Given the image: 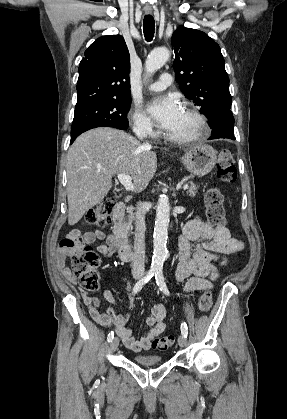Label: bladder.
I'll use <instances>...</instances> for the list:
<instances>
[{
    "mask_svg": "<svg viewBox=\"0 0 287 419\" xmlns=\"http://www.w3.org/2000/svg\"><path fill=\"white\" fill-rule=\"evenodd\" d=\"M134 361L144 366H154L161 362V358L152 355H135Z\"/></svg>",
    "mask_w": 287,
    "mask_h": 419,
    "instance_id": "31cf9c89",
    "label": "bladder"
}]
</instances>
